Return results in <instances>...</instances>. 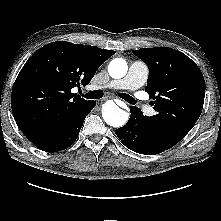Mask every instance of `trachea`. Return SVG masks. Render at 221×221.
I'll use <instances>...</instances> for the list:
<instances>
[{"label":"trachea","mask_w":221,"mask_h":221,"mask_svg":"<svg viewBox=\"0 0 221 221\" xmlns=\"http://www.w3.org/2000/svg\"><path fill=\"white\" fill-rule=\"evenodd\" d=\"M102 96H103V92L101 90H94L84 95V97L87 99H100L102 98ZM120 97L130 104L136 103L135 99L128 94L121 93Z\"/></svg>","instance_id":"1"}]
</instances>
